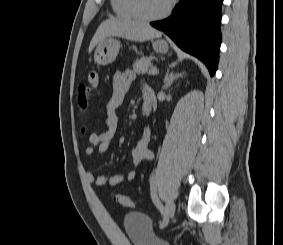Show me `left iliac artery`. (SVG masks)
<instances>
[{"mask_svg":"<svg viewBox=\"0 0 283 245\" xmlns=\"http://www.w3.org/2000/svg\"><path fill=\"white\" fill-rule=\"evenodd\" d=\"M150 192H151V198L154 204L157 206V208L159 209V211L161 212L163 216V220L160 222V227H162L165 222L166 210L163 207L157 195V176L156 175H153L150 179Z\"/></svg>","mask_w":283,"mask_h":245,"instance_id":"1","label":"left iliac artery"}]
</instances>
